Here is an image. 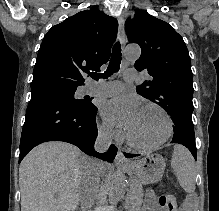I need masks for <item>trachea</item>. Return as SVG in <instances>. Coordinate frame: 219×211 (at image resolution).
Here are the masks:
<instances>
[{
  "label": "trachea",
  "instance_id": "obj_1",
  "mask_svg": "<svg viewBox=\"0 0 219 211\" xmlns=\"http://www.w3.org/2000/svg\"><path fill=\"white\" fill-rule=\"evenodd\" d=\"M121 56V46L117 41L113 46L112 55L107 70L103 74L92 72L90 74L91 78H94L98 81L99 78H108L109 76L113 75V73H117L121 64Z\"/></svg>",
  "mask_w": 219,
  "mask_h": 211
}]
</instances>
